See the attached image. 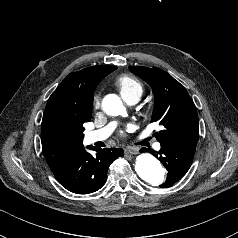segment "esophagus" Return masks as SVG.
Listing matches in <instances>:
<instances>
[{
  "label": "esophagus",
  "instance_id": "1",
  "mask_svg": "<svg viewBox=\"0 0 238 238\" xmlns=\"http://www.w3.org/2000/svg\"><path fill=\"white\" fill-rule=\"evenodd\" d=\"M138 152H139V150L136 147L128 146L125 149V153L128 154V155H136Z\"/></svg>",
  "mask_w": 238,
  "mask_h": 238
}]
</instances>
